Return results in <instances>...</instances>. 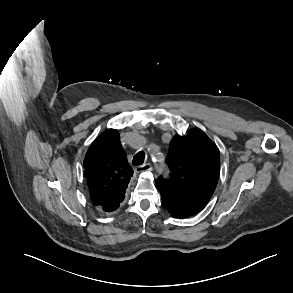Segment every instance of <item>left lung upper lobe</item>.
Here are the masks:
<instances>
[{
    "mask_svg": "<svg viewBox=\"0 0 293 293\" xmlns=\"http://www.w3.org/2000/svg\"><path fill=\"white\" fill-rule=\"evenodd\" d=\"M172 170L170 179L156 181L161 197L190 210L201 211L211 198L219 178L220 153L201 130L175 135L166 158Z\"/></svg>",
    "mask_w": 293,
    "mask_h": 293,
    "instance_id": "5c2ea615",
    "label": "left lung upper lobe"
}]
</instances>
